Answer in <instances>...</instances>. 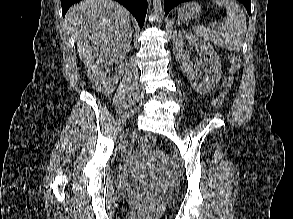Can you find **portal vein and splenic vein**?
Here are the masks:
<instances>
[{
    "mask_svg": "<svg viewBox=\"0 0 293 219\" xmlns=\"http://www.w3.org/2000/svg\"><path fill=\"white\" fill-rule=\"evenodd\" d=\"M210 25H211L212 28H215L216 27V24L215 23H211Z\"/></svg>",
    "mask_w": 293,
    "mask_h": 219,
    "instance_id": "1",
    "label": "portal vein and splenic vein"
}]
</instances>
